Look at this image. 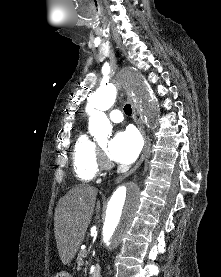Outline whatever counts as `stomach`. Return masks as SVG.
Returning a JSON list of instances; mask_svg holds the SVG:
<instances>
[{"mask_svg": "<svg viewBox=\"0 0 221 277\" xmlns=\"http://www.w3.org/2000/svg\"><path fill=\"white\" fill-rule=\"evenodd\" d=\"M55 277H71V275L67 272L57 273Z\"/></svg>", "mask_w": 221, "mask_h": 277, "instance_id": "1", "label": "stomach"}]
</instances>
